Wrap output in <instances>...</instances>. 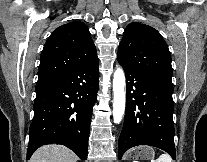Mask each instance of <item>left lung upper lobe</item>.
Instances as JSON below:
<instances>
[{
  "label": "left lung upper lobe",
  "mask_w": 207,
  "mask_h": 162,
  "mask_svg": "<svg viewBox=\"0 0 207 162\" xmlns=\"http://www.w3.org/2000/svg\"><path fill=\"white\" fill-rule=\"evenodd\" d=\"M117 60L140 72L172 78L168 46L156 29L145 24L132 22L127 26Z\"/></svg>",
  "instance_id": "1"
}]
</instances>
